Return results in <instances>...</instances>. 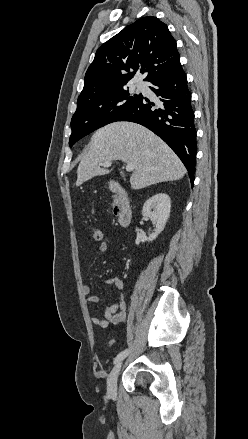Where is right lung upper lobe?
Returning a JSON list of instances; mask_svg holds the SVG:
<instances>
[{
	"label": "right lung upper lobe",
	"mask_w": 248,
	"mask_h": 439,
	"mask_svg": "<svg viewBox=\"0 0 248 439\" xmlns=\"http://www.w3.org/2000/svg\"><path fill=\"white\" fill-rule=\"evenodd\" d=\"M180 65L176 41L167 25L156 17L140 18L98 48L85 74L77 107L124 88L137 70L150 82Z\"/></svg>",
	"instance_id": "1"
}]
</instances>
